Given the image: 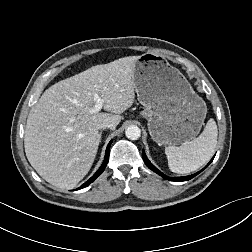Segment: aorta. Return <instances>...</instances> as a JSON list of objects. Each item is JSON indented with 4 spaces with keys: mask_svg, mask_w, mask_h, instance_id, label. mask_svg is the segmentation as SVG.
<instances>
[{
    "mask_svg": "<svg viewBox=\"0 0 252 252\" xmlns=\"http://www.w3.org/2000/svg\"><path fill=\"white\" fill-rule=\"evenodd\" d=\"M125 135L130 140H137L141 136V130L138 126L130 125L126 128Z\"/></svg>",
    "mask_w": 252,
    "mask_h": 252,
    "instance_id": "1",
    "label": "aorta"
}]
</instances>
